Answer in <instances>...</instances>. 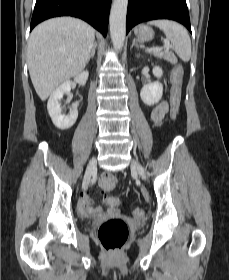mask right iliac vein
<instances>
[{
  "label": "right iliac vein",
  "mask_w": 229,
  "mask_h": 280,
  "mask_svg": "<svg viewBox=\"0 0 229 280\" xmlns=\"http://www.w3.org/2000/svg\"><path fill=\"white\" fill-rule=\"evenodd\" d=\"M96 160L95 158H93L88 167H87V170H86V174H85V177H84V181H83V189H86L90 183V180H91V176L92 174L96 171Z\"/></svg>",
  "instance_id": "obj_1"
}]
</instances>
